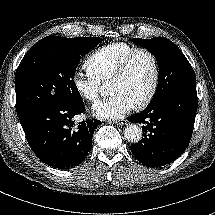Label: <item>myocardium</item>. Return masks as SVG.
Masks as SVG:
<instances>
[{
    "label": "myocardium",
    "mask_w": 215,
    "mask_h": 215,
    "mask_svg": "<svg viewBox=\"0 0 215 215\" xmlns=\"http://www.w3.org/2000/svg\"><path fill=\"white\" fill-rule=\"evenodd\" d=\"M138 54H146L152 63V80L150 87L144 96V98L138 102L137 104L133 105L134 109L136 110H142L145 109L152 99L154 98L158 84L160 79V67L159 62L156 57V55L149 49L144 47H138L130 51L127 55H125L117 64L115 70L113 71L112 75L110 76V80L119 78L125 74L127 71L129 65L131 64L132 60L138 55Z\"/></svg>",
    "instance_id": "myocardium-1"
}]
</instances>
